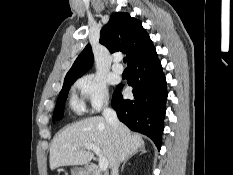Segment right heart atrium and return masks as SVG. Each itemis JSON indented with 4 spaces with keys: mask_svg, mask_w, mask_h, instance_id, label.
Masks as SVG:
<instances>
[{
    "mask_svg": "<svg viewBox=\"0 0 233 175\" xmlns=\"http://www.w3.org/2000/svg\"><path fill=\"white\" fill-rule=\"evenodd\" d=\"M82 105H87L91 112L97 113L107 106L109 93L106 83L99 77L86 74L74 84Z\"/></svg>",
    "mask_w": 233,
    "mask_h": 175,
    "instance_id": "1",
    "label": "right heart atrium"
}]
</instances>
